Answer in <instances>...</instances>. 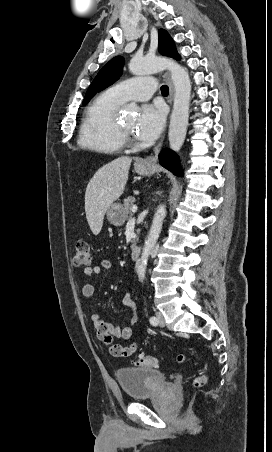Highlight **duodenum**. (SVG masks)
Wrapping results in <instances>:
<instances>
[{
	"instance_id": "1",
	"label": "duodenum",
	"mask_w": 272,
	"mask_h": 452,
	"mask_svg": "<svg viewBox=\"0 0 272 452\" xmlns=\"http://www.w3.org/2000/svg\"><path fill=\"white\" fill-rule=\"evenodd\" d=\"M140 254H141V246L134 245L131 249V258L133 260H137L140 257Z\"/></svg>"
}]
</instances>
